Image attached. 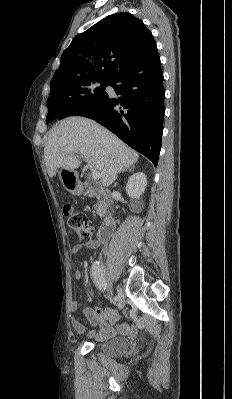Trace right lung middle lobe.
I'll list each match as a JSON object with an SVG mask.
<instances>
[{
    "mask_svg": "<svg viewBox=\"0 0 232 399\" xmlns=\"http://www.w3.org/2000/svg\"><path fill=\"white\" fill-rule=\"evenodd\" d=\"M100 83V86L96 84ZM110 79L81 83L76 87L59 94L50 95L47 100L48 115L46 123L56 119L61 113L69 116L81 108L96 105L107 95L105 89Z\"/></svg>",
    "mask_w": 232,
    "mask_h": 399,
    "instance_id": "1",
    "label": "right lung middle lobe"
}]
</instances>
